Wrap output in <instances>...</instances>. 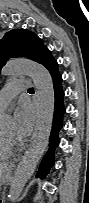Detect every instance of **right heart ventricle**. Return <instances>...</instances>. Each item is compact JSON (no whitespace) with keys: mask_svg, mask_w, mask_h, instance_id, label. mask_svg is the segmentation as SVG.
I'll return each mask as SVG.
<instances>
[{"mask_svg":"<svg viewBox=\"0 0 89 203\" xmlns=\"http://www.w3.org/2000/svg\"><path fill=\"white\" fill-rule=\"evenodd\" d=\"M10 156V152L6 149L2 136L0 135V160H6Z\"/></svg>","mask_w":89,"mask_h":203,"instance_id":"e07e8e85","label":"right heart ventricle"}]
</instances>
